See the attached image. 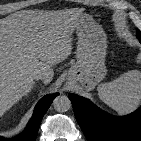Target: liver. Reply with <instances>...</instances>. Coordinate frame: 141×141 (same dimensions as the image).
Returning <instances> with one entry per match:
<instances>
[{
    "mask_svg": "<svg viewBox=\"0 0 141 141\" xmlns=\"http://www.w3.org/2000/svg\"><path fill=\"white\" fill-rule=\"evenodd\" d=\"M81 18L82 9H71L23 10L0 19V117L31 91L34 73L52 81V66L71 54Z\"/></svg>",
    "mask_w": 141,
    "mask_h": 141,
    "instance_id": "6515ba94",
    "label": "liver"
}]
</instances>
